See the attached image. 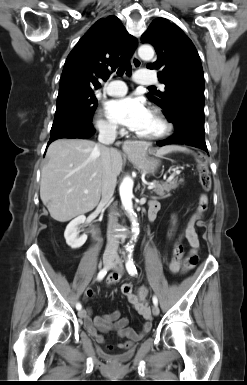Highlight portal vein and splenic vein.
Instances as JSON below:
<instances>
[{
	"label": "portal vein and splenic vein",
	"instance_id": "obj_1",
	"mask_svg": "<svg viewBox=\"0 0 247 385\" xmlns=\"http://www.w3.org/2000/svg\"><path fill=\"white\" fill-rule=\"evenodd\" d=\"M175 173H176V174L179 173V170H176ZM153 188H154V185H153V184H150V185L148 186V189H149V190H151V189H153ZM88 192H89L88 190H85V191H84V193H88Z\"/></svg>",
	"mask_w": 247,
	"mask_h": 385
}]
</instances>
